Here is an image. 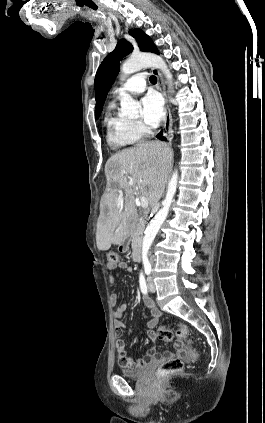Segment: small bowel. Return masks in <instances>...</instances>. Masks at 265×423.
<instances>
[{
    "label": "small bowel",
    "mask_w": 265,
    "mask_h": 423,
    "mask_svg": "<svg viewBox=\"0 0 265 423\" xmlns=\"http://www.w3.org/2000/svg\"><path fill=\"white\" fill-rule=\"evenodd\" d=\"M118 268L127 270L129 272L132 271V267L128 265L125 261L119 260L116 264L108 263L107 271L110 273L109 274L110 285L114 284V278L111 275V272ZM117 301H118L117 294L115 293L111 294L110 303L112 305H115ZM143 302L145 306L150 310V314H151V318L147 322V328H148L147 335L150 340H154L155 339L154 328L160 319L161 313L150 298L143 297ZM127 308H128V304L122 303L119 306H117L116 309L113 311V324L115 329V335L117 337L116 348L119 354V361L120 363H129L131 364L132 367H142L146 364L147 360H151L156 357V351L154 348H150L145 353V357L139 360H133L126 355V347H125L124 341L121 339V335L126 328L125 323L123 321V317Z\"/></svg>",
    "instance_id": "obj_1"
}]
</instances>
